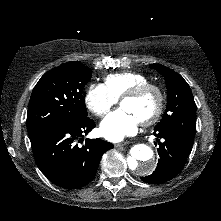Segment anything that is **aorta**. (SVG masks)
<instances>
[{
    "label": "aorta",
    "mask_w": 221,
    "mask_h": 221,
    "mask_svg": "<svg viewBox=\"0 0 221 221\" xmlns=\"http://www.w3.org/2000/svg\"><path fill=\"white\" fill-rule=\"evenodd\" d=\"M130 170L137 175L151 174L156 168V159L152 148L146 144L134 145L127 158Z\"/></svg>",
    "instance_id": "aorta-1"
}]
</instances>
